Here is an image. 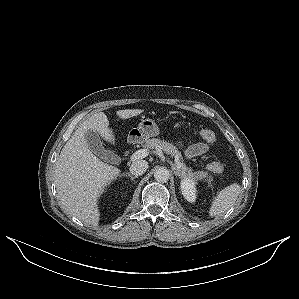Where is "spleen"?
<instances>
[{"label": "spleen", "mask_w": 299, "mask_h": 299, "mask_svg": "<svg viewBox=\"0 0 299 299\" xmlns=\"http://www.w3.org/2000/svg\"><path fill=\"white\" fill-rule=\"evenodd\" d=\"M240 185L237 183L231 184L230 186L225 187L219 192V194L213 198L209 216L216 217L224 214L229 208H231L240 193Z\"/></svg>", "instance_id": "spleen-1"}]
</instances>
